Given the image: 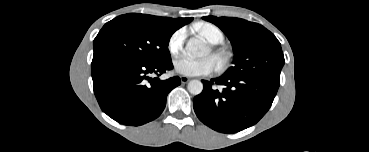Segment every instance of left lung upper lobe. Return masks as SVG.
Segmentation results:
<instances>
[{
  "instance_id": "obj_1",
  "label": "left lung upper lobe",
  "mask_w": 369,
  "mask_h": 152,
  "mask_svg": "<svg viewBox=\"0 0 369 152\" xmlns=\"http://www.w3.org/2000/svg\"><path fill=\"white\" fill-rule=\"evenodd\" d=\"M229 38L234 52L233 66L226 76H260L280 80L284 65L281 44L262 25L233 17L206 16Z\"/></svg>"
}]
</instances>
